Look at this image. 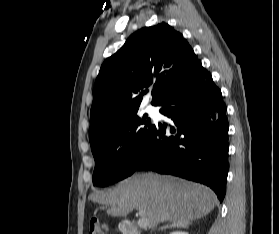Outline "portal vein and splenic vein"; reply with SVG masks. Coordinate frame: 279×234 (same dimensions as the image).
I'll return each mask as SVG.
<instances>
[{"mask_svg": "<svg viewBox=\"0 0 279 234\" xmlns=\"http://www.w3.org/2000/svg\"><path fill=\"white\" fill-rule=\"evenodd\" d=\"M140 219L138 220V226L141 228H145L148 226V219L145 216V213L143 211H139Z\"/></svg>", "mask_w": 279, "mask_h": 234, "instance_id": "portal-vein-and-splenic-vein-1", "label": "portal vein and splenic vein"}]
</instances>
